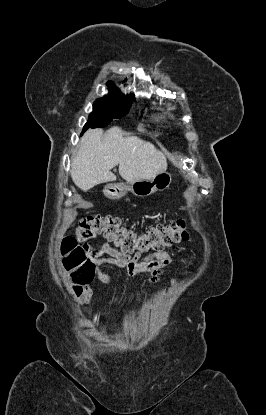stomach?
Returning a JSON list of instances; mask_svg holds the SVG:
<instances>
[{
	"mask_svg": "<svg viewBox=\"0 0 266 415\" xmlns=\"http://www.w3.org/2000/svg\"><path fill=\"white\" fill-rule=\"evenodd\" d=\"M172 183L171 173L164 171L157 174L153 179H142L127 183L107 184L104 187V195L111 200H118L124 197L127 191L138 197H147L157 191H163Z\"/></svg>",
	"mask_w": 266,
	"mask_h": 415,
	"instance_id": "stomach-1",
	"label": "stomach"
}]
</instances>
